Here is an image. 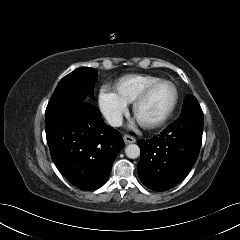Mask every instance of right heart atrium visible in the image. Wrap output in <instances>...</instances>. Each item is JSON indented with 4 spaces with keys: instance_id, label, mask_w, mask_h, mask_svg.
<instances>
[{
    "instance_id": "obj_1",
    "label": "right heart atrium",
    "mask_w": 240,
    "mask_h": 240,
    "mask_svg": "<svg viewBox=\"0 0 240 240\" xmlns=\"http://www.w3.org/2000/svg\"><path fill=\"white\" fill-rule=\"evenodd\" d=\"M99 107L107 122L112 126L120 125L128 111L127 103L109 86H103L100 89Z\"/></svg>"
}]
</instances>
